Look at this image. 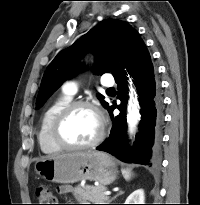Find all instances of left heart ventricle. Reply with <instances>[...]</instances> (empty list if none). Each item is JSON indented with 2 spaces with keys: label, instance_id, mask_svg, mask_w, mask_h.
<instances>
[{
  "label": "left heart ventricle",
  "instance_id": "left-heart-ventricle-1",
  "mask_svg": "<svg viewBox=\"0 0 200 205\" xmlns=\"http://www.w3.org/2000/svg\"><path fill=\"white\" fill-rule=\"evenodd\" d=\"M99 120L95 112L87 108L75 110L62 127V137L70 144H85L98 134Z\"/></svg>",
  "mask_w": 200,
  "mask_h": 205
}]
</instances>
